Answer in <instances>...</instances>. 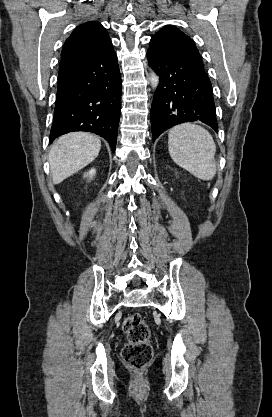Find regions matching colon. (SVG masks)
<instances>
[{"instance_id": "1", "label": "colon", "mask_w": 272, "mask_h": 417, "mask_svg": "<svg viewBox=\"0 0 272 417\" xmlns=\"http://www.w3.org/2000/svg\"><path fill=\"white\" fill-rule=\"evenodd\" d=\"M127 342L122 351L125 364L134 371L143 370L151 361L153 350L144 318L137 313L127 316L123 322Z\"/></svg>"}]
</instances>
